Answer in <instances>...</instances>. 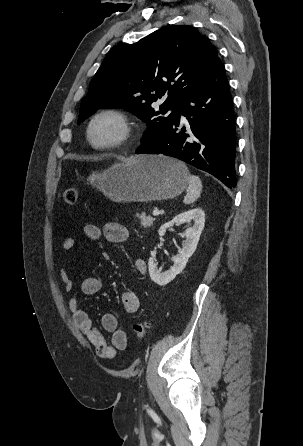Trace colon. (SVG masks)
Masks as SVG:
<instances>
[{"label": "colon", "mask_w": 303, "mask_h": 446, "mask_svg": "<svg viewBox=\"0 0 303 446\" xmlns=\"http://www.w3.org/2000/svg\"><path fill=\"white\" fill-rule=\"evenodd\" d=\"M64 201L69 205H74L78 200V191L74 187L67 188L63 193ZM133 332L135 336L143 340L147 334V324L144 321H139L133 324Z\"/></svg>", "instance_id": "5ec220e1"}]
</instances>
